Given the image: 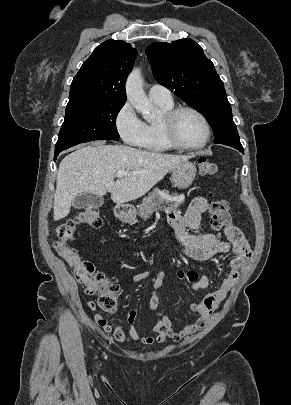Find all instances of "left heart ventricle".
<instances>
[{
  "mask_svg": "<svg viewBox=\"0 0 291 405\" xmlns=\"http://www.w3.org/2000/svg\"><path fill=\"white\" fill-rule=\"evenodd\" d=\"M177 135L184 144L196 146L205 140L206 129L198 116L191 112H184L177 121Z\"/></svg>",
  "mask_w": 291,
  "mask_h": 405,
  "instance_id": "1",
  "label": "left heart ventricle"
}]
</instances>
